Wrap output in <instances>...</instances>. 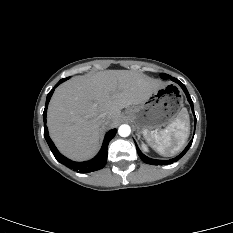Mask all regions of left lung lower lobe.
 <instances>
[{"instance_id":"0a47b994","label":"left lung lower lobe","mask_w":233,"mask_h":233,"mask_svg":"<svg viewBox=\"0 0 233 233\" xmlns=\"http://www.w3.org/2000/svg\"><path fill=\"white\" fill-rule=\"evenodd\" d=\"M172 81L176 82L177 84H179L181 86V88L183 89V91L185 92L186 96H187V99L191 105V108H192V111L194 113V109H193V102H192V99L185 87V85L180 82L179 80H177L176 78H173V77H170ZM194 116H195V113H194ZM195 126H196V117H195ZM192 141L193 139L189 142V144L187 145V147L183 150V152L178 155L177 157L173 158V159H170V160H156V159H151L147 156H145L141 151L140 149L138 148L137 144H136V148H137V152H138V155L140 156V158L147 164H152V165H168V164H172L173 162L175 161H178L187 151L188 149L190 148L191 144H192Z\"/></svg>"}]
</instances>
